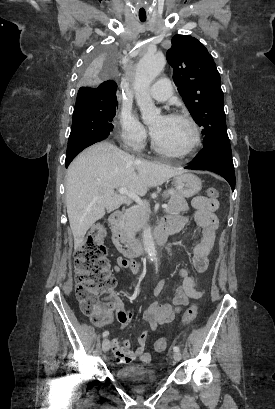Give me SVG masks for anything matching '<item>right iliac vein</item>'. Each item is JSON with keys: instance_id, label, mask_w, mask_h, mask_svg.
I'll list each match as a JSON object with an SVG mask.
<instances>
[{"instance_id": "63e3f726", "label": "right iliac vein", "mask_w": 275, "mask_h": 409, "mask_svg": "<svg viewBox=\"0 0 275 409\" xmlns=\"http://www.w3.org/2000/svg\"><path fill=\"white\" fill-rule=\"evenodd\" d=\"M102 349H103V351L106 353V352H108L109 351V349H110V341H109V339H104L103 340V342H102Z\"/></svg>"}]
</instances>
